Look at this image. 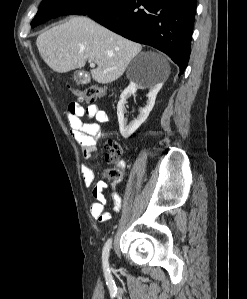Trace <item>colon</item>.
<instances>
[{
	"instance_id": "1",
	"label": "colon",
	"mask_w": 247,
	"mask_h": 299,
	"mask_svg": "<svg viewBox=\"0 0 247 299\" xmlns=\"http://www.w3.org/2000/svg\"><path fill=\"white\" fill-rule=\"evenodd\" d=\"M72 92L78 99L85 101H94L104 97L106 94L105 88L100 85H89L84 88H73ZM106 148L108 150L107 160L109 162L114 161L116 156L120 153L119 145L110 140L108 141ZM106 174L109 177H118L120 175L119 171L114 168L109 169Z\"/></svg>"
}]
</instances>
